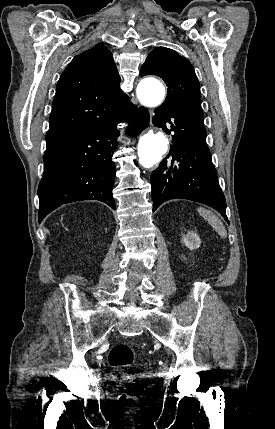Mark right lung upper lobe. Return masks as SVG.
Returning <instances> with one entry per match:
<instances>
[{"mask_svg": "<svg viewBox=\"0 0 275 429\" xmlns=\"http://www.w3.org/2000/svg\"><path fill=\"white\" fill-rule=\"evenodd\" d=\"M120 81L103 45L74 57L57 83L46 141L119 117L130 102Z\"/></svg>", "mask_w": 275, "mask_h": 429, "instance_id": "1", "label": "right lung upper lobe"}]
</instances>
